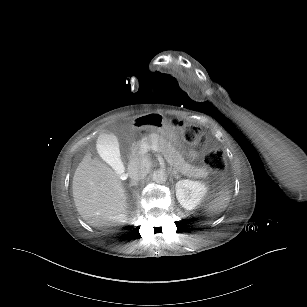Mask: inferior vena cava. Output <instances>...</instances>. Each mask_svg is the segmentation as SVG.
I'll list each match as a JSON object with an SVG mask.
<instances>
[{
  "label": "inferior vena cava",
  "instance_id": "1",
  "mask_svg": "<svg viewBox=\"0 0 307 307\" xmlns=\"http://www.w3.org/2000/svg\"><path fill=\"white\" fill-rule=\"evenodd\" d=\"M129 177L134 181H140L148 174V169L138 159H133L128 165Z\"/></svg>",
  "mask_w": 307,
  "mask_h": 307
}]
</instances>
